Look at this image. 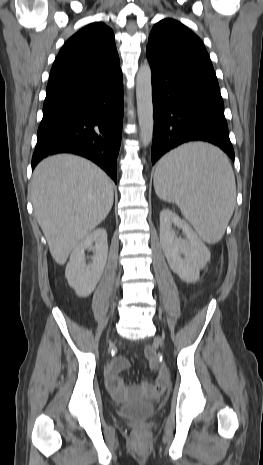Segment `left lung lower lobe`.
Here are the masks:
<instances>
[{"mask_svg": "<svg viewBox=\"0 0 263 465\" xmlns=\"http://www.w3.org/2000/svg\"><path fill=\"white\" fill-rule=\"evenodd\" d=\"M152 69V164L190 141L217 145L234 161L224 104L213 67L175 62L146 51Z\"/></svg>", "mask_w": 263, "mask_h": 465, "instance_id": "0a47b994", "label": "left lung lower lobe"}]
</instances>
